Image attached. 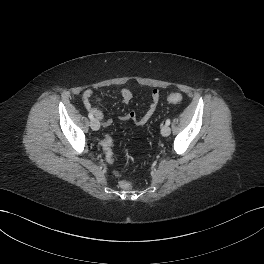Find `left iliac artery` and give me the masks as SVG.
I'll list each match as a JSON object with an SVG mask.
<instances>
[{
    "mask_svg": "<svg viewBox=\"0 0 264 264\" xmlns=\"http://www.w3.org/2000/svg\"><path fill=\"white\" fill-rule=\"evenodd\" d=\"M170 123H171L170 119H167L166 120V125H170Z\"/></svg>",
    "mask_w": 264,
    "mask_h": 264,
    "instance_id": "left-iliac-artery-1",
    "label": "left iliac artery"
}]
</instances>
